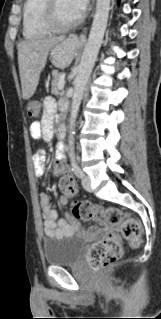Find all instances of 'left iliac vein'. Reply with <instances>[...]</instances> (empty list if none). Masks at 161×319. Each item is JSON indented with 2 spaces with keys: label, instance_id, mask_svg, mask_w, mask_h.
<instances>
[{
  "label": "left iliac vein",
  "instance_id": "4c4485c4",
  "mask_svg": "<svg viewBox=\"0 0 161 319\" xmlns=\"http://www.w3.org/2000/svg\"><path fill=\"white\" fill-rule=\"evenodd\" d=\"M82 186H83V188L85 189V190H87V191H91L92 190V188H91V180H90V178L89 177H87V176H84L83 178H82Z\"/></svg>",
  "mask_w": 161,
  "mask_h": 319
}]
</instances>
